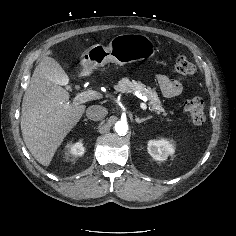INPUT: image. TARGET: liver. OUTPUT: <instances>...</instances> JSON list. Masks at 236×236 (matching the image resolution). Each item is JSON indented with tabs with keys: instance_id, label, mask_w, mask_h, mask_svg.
<instances>
[{
	"instance_id": "6515ba94",
	"label": "liver",
	"mask_w": 236,
	"mask_h": 236,
	"mask_svg": "<svg viewBox=\"0 0 236 236\" xmlns=\"http://www.w3.org/2000/svg\"><path fill=\"white\" fill-rule=\"evenodd\" d=\"M35 68L25 91L21 111L23 140L33 157L43 166H49L64 138L78 123L85 105L69 103V93L46 74L43 59Z\"/></svg>"
}]
</instances>
